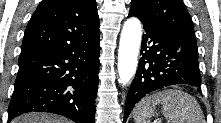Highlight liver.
Instances as JSON below:
<instances>
[{"instance_id": "obj_1", "label": "liver", "mask_w": 221, "mask_h": 123, "mask_svg": "<svg viewBox=\"0 0 221 123\" xmlns=\"http://www.w3.org/2000/svg\"><path fill=\"white\" fill-rule=\"evenodd\" d=\"M12 123H69L68 120L47 113H29L15 118Z\"/></svg>"}]
</instances>
